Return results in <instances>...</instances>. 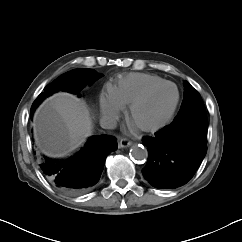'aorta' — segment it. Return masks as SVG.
I'll use <instances>...</instances> for the list:
<instances>
[{
	"instance_id": "aorta-1",
	"label": "aorta",
	"mask_w": 242,
	"mask_h": 242,
	"mask_svg": "<svg viewBox=\"0 0 242 242\" xmlns=\"http://www.w3.org/2000/svg\"><path fill=\"white\" fill-rule=\"evenodd\" d=\"M130 155L134 160L143 161L147 158L148 152L143 145H133L130 149Z\"/></svg>"
}]
</instances>
